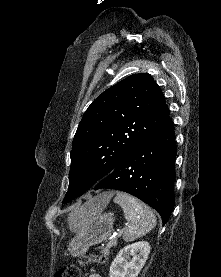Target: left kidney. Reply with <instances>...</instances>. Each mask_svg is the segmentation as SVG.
<instances>
[{"label":"left kidney","instance_id":"obj_1","mask_svg":"<svg viewBox=\"0 0 221 277\" xmlns=\"http://www.w3.org/2000/svg\"><path fill=\"white\" fill-rule=\"evenodd\" d=\"M150 253V245L139 241L122 248L110 266V277H137Z\"/></svg>","mask_w":221,"mask_h":277}]
</instances>
